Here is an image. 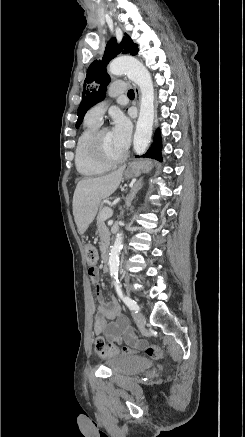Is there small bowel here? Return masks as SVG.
<instances>
[{"label":"small bowel","mask_w":245,"mask_h":437,"mask_svg":"<svg viewBox=\"0 0 245 437\" xmlns=\"http://www.w3.org/2000/svg\"><path fill=\"white\" fill-rule=\"evenodd\" d=\"M90 279L97 286L96 295L99 301L95 315L93 331L95 334L104 335L110 340L121 341L140 347L143 342L132 331L129 320L122 313L121 307L115 297H111L109 302H105L99 288V272L97 269L90 273Z\"/></svg>","instance_id":"c3829d8e"}]
</instances>
